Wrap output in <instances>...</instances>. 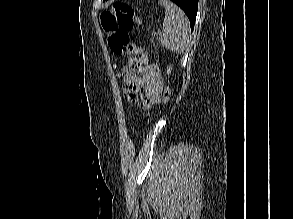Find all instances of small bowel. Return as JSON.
I'll return each instance as SVG.
<instances>
[{
  "instance_id": "c3829d8e",
  "label": "small bowel",
  "mask_w": 293,
  "mask_h": 219,
  "mask_svg": "<svg viewBox=\"0 0 293 219\" xmlns=\"http://www.w3.org/2000/svg\"><path fill=\"white\" fill-rule=\"evenodd\" d=\"M124 82L125 92L130 102L143 108L160 102L163 78L156 65L148 64L138 74H126Z\"/></svg>"
}]
</instances>
